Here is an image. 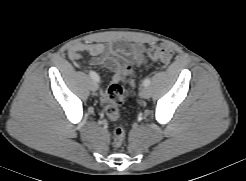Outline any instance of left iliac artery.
I'll list each match as a JSON object with an SVG mask.
<instances>
[{
	"instance_id": "44dca946",
	"label": "left iliac artery",
	"mask_w": 246,
	"mask_h": 181,
	"mask_svg": "<svg viewBox=\"0 0 246 181\" xmlns=\"http://www.w3.org/2000/svg\"><path fill=\"white\" fill-rule=\"evenodd\" d=\"M150 83H151V81H150L149 78H146V79L143 81V85H144V86H148V85H150Z\"/></svg>"
}]
</instances>
